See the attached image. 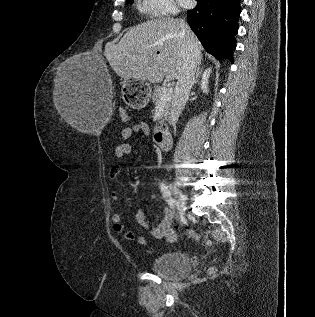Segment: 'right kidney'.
Here are the masks:
<instances>
[{"instance_id": "ca27d5eb", "label": "right kidney", "mask_w": 315, "mask_h": 317, "mask_svg": "<svg viewBox=\"0 0 315 317\" xmlns=\"http://www.w3.org/2000/svg\"><path fill=\"white\" fill-rule=\"evenodd\" d=\"M211 69H206L205 72L203 73L202 80H201V89L203 90L204 93H208V78L210 76Z\"/></svg>"}]
</instances>
